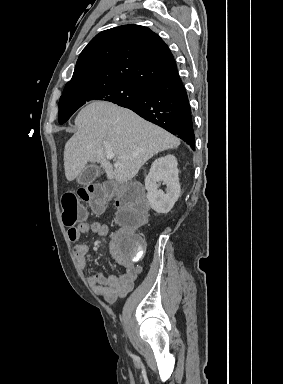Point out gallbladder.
Instances as JSON below:
<instances>
[{
	"label": "gallbladder",
	"mask_w": 283,
	"mask_h": 384,
	"mask_svg": "<svg viewBox=\"0 0 283 384\" xmlns=\"http://www.w3.org/2000/svg\"><path fill=\"white\" fill-rule=\"evenodd\" d=\"M94 169V166H87V168L83 170L82 174H80L79 178H77L78 184H83V186H87V184H91V182H94L97 176V172Z\"/></svg>",
	"instance_id": "obj_1"
}]
</instances>
